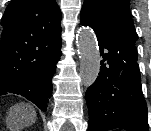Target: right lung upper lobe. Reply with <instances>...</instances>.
Returning a JSON list of instances; mask_svg holds the SVG:
<instances>
[{
  "instance_id": "cb5924a9",
  "label": "right lung upper lobe",
  "mask_w": 151,
  "mask_h": 131,
  "mask_svg": "<svg viewBox=\"0 0 151 131\" xmlns=\"http://www.w3.org/2000/svg\"><path fill=\"white\" fill-rule=\"evenodd\" d=\"M61 11L55 0H12L1 25L0 91L41 70L61 41Z\"/></svg>"
}]
</instances>
